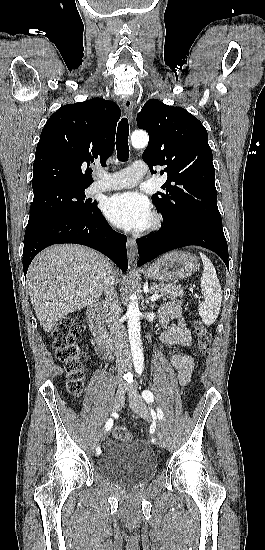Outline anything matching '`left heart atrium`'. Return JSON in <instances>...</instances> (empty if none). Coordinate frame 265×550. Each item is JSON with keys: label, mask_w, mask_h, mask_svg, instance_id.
Returning a JSON list of instances; mask_svg holds the SVG:
<instances>
[{"label": "left heart atrium", "mask_w": 265, "mask_h": 550, "mask_svg": "<svg viewBox=\"0 0 265 550\" xmlns=\"http://www.w3.org/2000/svg\"><path fill=\"white\" fill-rule=\"evenodd\" d=\"M107 218L125 230H142L150 222L149 201L137 192H124L112 196L105 205Z\"/></svg>", "instance_id": "1"}]
</instances>
